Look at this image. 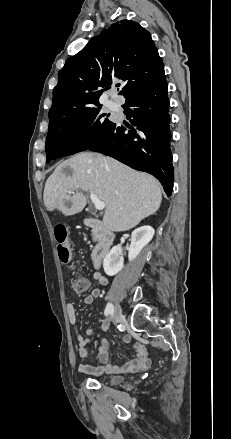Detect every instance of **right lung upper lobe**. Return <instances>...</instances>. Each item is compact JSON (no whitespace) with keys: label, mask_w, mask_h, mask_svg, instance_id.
<instances>
[{"label":"right lung upper lobe","mask_w":231,"mask_h":439,"mask_svg":"<svg viewBox=\"0 0 231 439\" xmlns=\"http://www.w3.org/2000/svg\"><path fill=\"white\" fill-rule=\"evenodd\" d=\"M163 77L164 65L150 33L137 22L122 20L67 59L53 90L49 122L100 106L102 92L114 79L123 81L119 94L127 98Z\"/></svg>","instance_id":"obj_1"}]
</instances>
